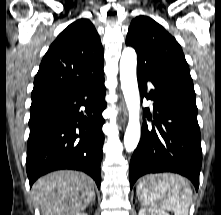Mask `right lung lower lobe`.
Listing matches in <instances>:
<instances>
[{
  "mask_svg": "<svg viewBox=\"0 0 221 215\" xmlns=\"http://www.w3.org/2000/svg\"><path fill=\"white\" fill-rule=\"evenodd\" d=\"M106 88L98 80L30 109L26 170L30 187L42 175L60 169L80 170L100 188V163ZM85 112H80V107Z\"/></svg>",
  "mask_w": 221,
  "mask_h": 215,
  "instance_id": "right-lung-lower-lobe-1",
  "label": "right lung lower lobe"
}]
</instances>
